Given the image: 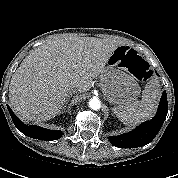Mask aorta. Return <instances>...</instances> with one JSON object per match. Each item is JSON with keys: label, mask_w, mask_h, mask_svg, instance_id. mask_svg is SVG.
<instances>
[{"label": "aorta", "mask_w": 178, "mask_h": 178, "mask_svg": "<svg viewBox=\"0 0 178 178\" xmlns=\"http://www.w3.org/2000/svg\"><path fill=\"white\" fill-rule=\"evenodd\" d=\"M89 107L93 110H98L101 107L100 101L98 98H92L89 101Z\"/></svg>", "instance_id": "1"}]
</instances>
